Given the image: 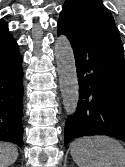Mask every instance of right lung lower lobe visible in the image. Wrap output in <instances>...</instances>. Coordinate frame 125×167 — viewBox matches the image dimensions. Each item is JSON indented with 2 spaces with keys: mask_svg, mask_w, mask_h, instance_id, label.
I'll return each mask as SVG.
<instances>
[{
  "mask_svg": "<svg viewBox=\"0 0 125 167\" xmlns=\"http://www.w3.org/2000/svg\"><path fill=\"white\" fill-rule=\"evenodd\" d=\"M18 45L7 27L0 28V141L22 146L23 71Z\"/></svg>",
  "mask_w": 125,
  "mask_h": 167,
  "instance_id": "98d812e1",
  "label": "right lung lower lobe"
}]
</instances>
